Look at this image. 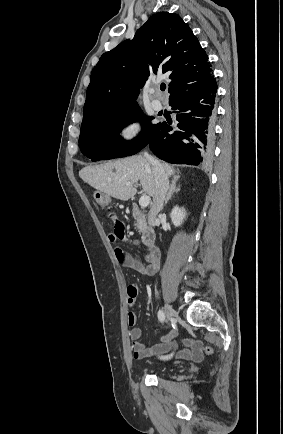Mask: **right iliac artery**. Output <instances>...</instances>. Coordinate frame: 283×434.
Listing matches in <instances>:
<instances>
[{"label": "right iliac artery", "instance_id": "right-iliac-artery-1", "mask_svg": "<svg viewBox=\"0 0 283 434\" xmlns=\"http://www.w3.org/2000/svg\"><path fill=\"white\" fill-rule=\"evenodd\" d=\"M157 316H158V319H159L160 322H164V320H165V313L162 310L158 311ZM168 358H170V356L169 357L168 356L164 357L163 359H168Z\"/></svg>", "mask_w": 283, "mask_h": 434}]
</instances>
